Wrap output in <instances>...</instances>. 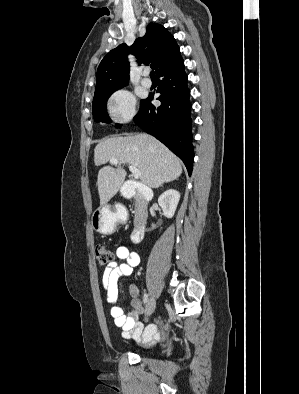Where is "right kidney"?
<instances>
[{"label": "right kidney", "instance_id": "1", "mask_svg": "<svg viewBox=\"0 0 299 394\" xmlns=\"http://www.w3.org/2000/svg\"><path fill=\"white\" fill-rule=\"evenodd\" d=\"M179 199L180 194L174 189H169L160 195L158 203L166 218H172L174 216ZM152 227H154V225H152Z\"/></svg>", "mask_w": 299, "mask_h": 394}]
</instances>
